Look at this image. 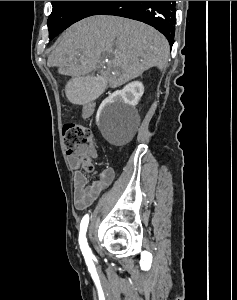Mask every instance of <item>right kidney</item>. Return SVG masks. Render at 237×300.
I'll use <instances>...</instances> for the list:
<instances>
[{
  "label": "right kidney",
  "mask_w": 237,
  "mask_h": 300,
  "mask_svg": "<svg viewBox=\"0 0 237 300\" xmlns=\"http://www.w3.org/2000/svg\"><path fill=\"white\" fill-rule=\"evenodd\" d=\"M144 93V87L140 81H134V83H129V85H126L122 91H115V93H112L110 97H107L103 103H101L98 111H97V121H99L100 113L102 109H104L105 105L107 103H116V101H123V103H126V105H131V107H135V105H138L142 95Z\"/></svg>",
  "instance_id": "ca27d5eb"
}]
</instances>
